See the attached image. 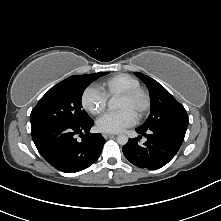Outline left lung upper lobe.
I'll list each match as a JSON object with an SVG mask.
<instances>
[{
  "mask_svg": "<svg viewBox=\"0 0 221 221\" xmlns=\"http://www.w3.org/2000/svg\"><path fill=\"white\" fill-rule=\"evenodd\" d=\"M148 87L151 95V114L139 128L147 130L167 125L188 126V115L183 107L161 84L142 73L135 72Z\"/></svg>",
  "mask_w": 221,
  "mask_h": 221,
  "instance_id": "obj_1",
  "label": "left lung upper lobe"
}]
</instances>
